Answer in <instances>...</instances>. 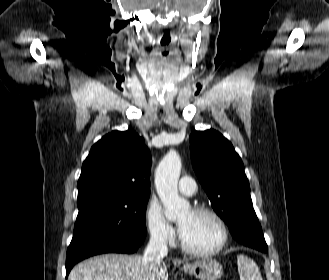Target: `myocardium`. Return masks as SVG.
<instances>
[{
  "mask_svg": "<svg viewBox=\"0 0 329 280\" xmlns=\"http://www.w3.org/2000/svg\"><path fill=\"white\" fill-rule=\"evenodd\" d=\"M190 210L192 213L204 214L213 218L220 228L221 237L216 247L208 250H199L187 245L186 242L183 240L181 233H179V242L182 250L189 255L197 256V257H211L217 255L225 248L229 239V231L226 222L224 221L222 216L212 208L198 205V206H193Z\"/></svg>",
  "mask_w": 329,
  "mask_h": 280,
  "instance_id": "1",
  "label": "myocardium"
}]
</instances>
